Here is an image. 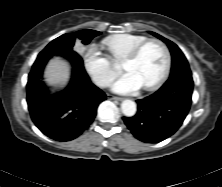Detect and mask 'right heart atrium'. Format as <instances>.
<instances>
[{
	"label": "right heart atrium",
	"instance_id": "obj_1",
	"mask_svg": "<svg viewBox=\"0 0 222 187\" xmlns=\"http://www.w3.org/2000/svg\"><path fill=\"white\" fill-rule=\"evenodd\" d=\"M82 62L94 82L101 87L108 86L117 73L113 62L104 56L95 44L88 45L84 50Z\"/></svg>",
	"mask_w": 222,
	"mask_h": 187
}]
</instances>
